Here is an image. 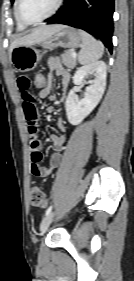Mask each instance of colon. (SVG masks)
I'll use <instances>...</instances> for the list:
<instances>
[{"mask_svg": "<svg viewBox=\"0 0 134 281\" xmlns=\"http://www.w3.org/2000/svg\"><path fill=\"white\" fill-rule=\"evenodd\" d=\"M48 77L43 73H36L33 78L34 87L42 91L46 88ZM31 203L34 207L44 208L47 204V197L44 191L39 187H34L31 191Z\"/></svg>", "mask_w": 134, "mask_h": 281, "instance_id": "obj_1", "label": "colon"}]
</instances>
